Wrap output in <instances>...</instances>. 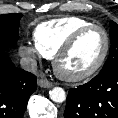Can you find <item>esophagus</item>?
Wrapping results in <instances>:
<instances>
[{
    "mask_svg": "<svg viewBox=\"0 0 118 118\" xmlns=\"http://www.w3.org/2000/svg\"><path fill=\"white\" fill-rule=\"evenodd\" d=\"M37 83L42 88H51L53 86V84L45 77H40L37 80Z\"/></svg>",
    "mask_w": 118,
    "mask_h": 118,
    "instance_id": "1",
    "label": "esophagus"
}]
</instances>
